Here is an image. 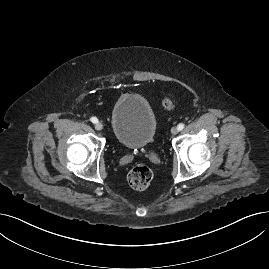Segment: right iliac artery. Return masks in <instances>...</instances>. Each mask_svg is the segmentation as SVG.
Returning a JSON list of instances; mask_svg holds the SVG:
<instances>
[{
	"mask_svg": "<svg viewBox=\"0 0 269 269\" xmlns=\"http://www.w3.org/2000/svg\"><path fill=\"white\" fill-rule=\"evenodd\" d=\"M90 121L96 124L98 122V119L96 117H91Z\"/></svg>",
	"mask_w": 269,
	"mask_h": 269,
	"instance_id": "1",
	"label": "right iliac artery"
}]
</instances>
